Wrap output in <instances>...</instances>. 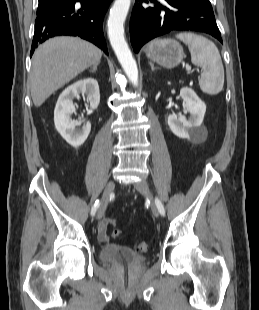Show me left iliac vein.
Here are the masks:
<instances>
[{
	"label": "left iliac vein",
	"instance_id": "obj_1",
	"mask_svg": "<svg viewBox=\"0 0 259 310\" xmlns=\"http://www.w3.org/2000/svg\"><path fill=\"white\" fill-rule=\"evenodd\" d=\"M135 188L139 193L147 196L151 200V211L155 217H159V210L155 203L154 196L149 189L148 183L145 180L139 181L135 184Z\"/></svg>",
	"mask_w": 259,
	"mask_h": 310
}]
</instances>
